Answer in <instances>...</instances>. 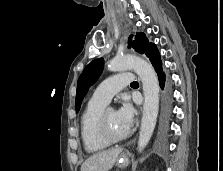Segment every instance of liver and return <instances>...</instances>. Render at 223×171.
<instances>
[{"label": "liver", "instance_id": "1", "mask_svg": "<svg viewBox=\"0 0 223 171\" xmlns=\"http://www.w3.org/2000/svg\"><path fill=\"white\" fill-rule=\"evenodd\" d=\"M121 152L120 147L98 152L81 165V171H109Z\"/></svg>", "mask_w": 223, "mask_h": 171}]
</instances>
